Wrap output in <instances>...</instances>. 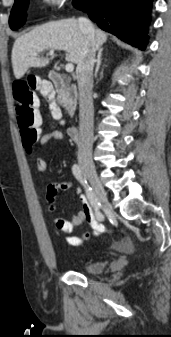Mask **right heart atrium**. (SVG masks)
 <instances>
[{"instance_id": "1", "label": "right heart atrium", "mask_w": 171, "mask_h": 337, "mask_svg": "<svg viewBox=\"0 0 171 337\" xmlns=\"http://www.w3.org/2000/svg\"><path fill=\"white\" fill-rule=\"evenodd\" d=\"M48 5L59 6L65 2V0H44Z\"/></svg>"}]
</instances>
